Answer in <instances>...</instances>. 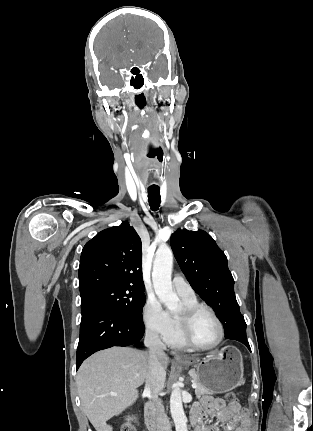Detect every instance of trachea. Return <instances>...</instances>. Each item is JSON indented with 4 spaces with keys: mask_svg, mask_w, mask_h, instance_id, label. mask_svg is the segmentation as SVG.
Instances as JSON below:
<instances>
[{
    "mask_svg": "<svg viewBox=\"0 0 313 431\" xmlns=\"http://www.w3.org/2000/svg\"><path fill=\"white\" fill-rule=\"evenodd\" d=\"M148 202L153 211L158 210L161 203L159 187L148 188Z\"/></svg>",
    "mask_w": 313,
    "mask_h": 431,
    "instance_id": "1",
    "label": "trachea"
}]
</instances>
